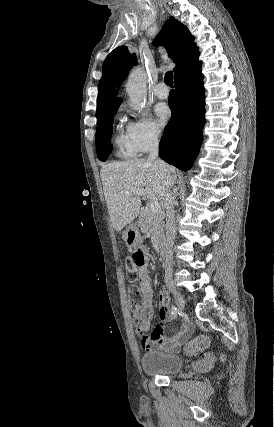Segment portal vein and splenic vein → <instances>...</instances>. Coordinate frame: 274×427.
Masks as SVG:
<instances>
[{"instance_id": "18ae733b", "label": "portal vein and splenic vein", "mask_w": 274, "mask_h": 427, "mask_svg": "<svg viewBox=\"0 0 274 427\" xmlns=\"http://www.w3.org/2000/svg\"><path fill=\"white\" fill-rule=\"evenodd\" d=\"M125 194L126 196H147L145 190H131V192H125ZM149 210L152 214H158V212H161L160 204L153 202V204H150Z\"/></svg>"}]
</instances>
